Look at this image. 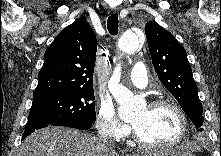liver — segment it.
I'll return each mask as SVG.
<instances>
[{
  "mask_svg": "<svg viewBox=\"0 0 221 156\" xmlns=\"http://www.w3.org/2000/svg\"><path fill=\"white\" fill-rule=\"evenodd\" d=\"M187 150H197L186 145ZM144 155H148L144 153ZM19 156H119L113 147L103 146L89 133L64 127H48L27 137Z\"/></svg>",
  "mask_w": 221,
  "mask_h": 156,
  "instance_id": "obj_1",
  "label": "liver"
}]
</instances>
